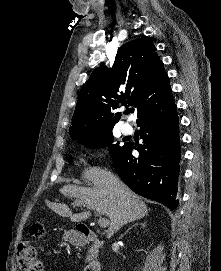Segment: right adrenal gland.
I'll list each match as a JSON object with an SVG mask.
<instances>
[{
  "label": "right adrenal gland",
  "mask_w": 221,
  "mask_h": 271,
  "mask_svg": "<svg viewBox=\"0 0 221 271\" xmlns=\"http://www.w3.org/2000/svg\"><path fill=\"white\" fill-rule=\"evenodd\" d=\"M134 225H142V227H145L146 221H143V223H134ZM131 229V227H129Z\"/></svg>",
  "instance_id": "obj_1"
}]
</instances>
